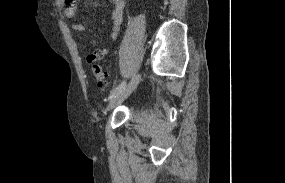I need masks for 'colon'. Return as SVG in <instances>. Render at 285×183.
I'll return each mask as SVG.
<instances>
[{
    "label": "colon",
    "instance_id": "obj_1",
    "mask_svg": "<svg viewBox=\"0 0 285 183\" xmlns=\"http://www.w3.org/2000/svg\"><path fill=\"white\" fill-rule=\"evenodd\" d=\"M68 3L72 2V0H66ZM92 73L94 79L100 88H104L107 85V75L102 70V68L97 64H91Z\"/></svg>",
    "mask_w": 285,
    "mask_h": 183
}]
</instances>
